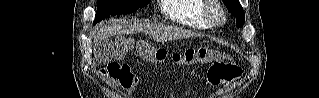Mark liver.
<instances>
[{
    "instance_id": "liver-1",
    "label": "liver",
    "mask_w": 319,
    "mask_h": 98,
    "mask_svg": "<svg viewBox=\"0 0 319 98\" xmlns=\"http://www.w3.org/2000/svg\"><path fill=\"white\" fill-rule=\"evenodd\" d=\"M140 32L151 35L157 42L180 40L195 36L193 32L174 26L145 24L139 22L122 25L114 21H110L107 25L101 27L97 31L94 38V43L97 47L111 36Z\"/></svg>"
}]
</instances>
